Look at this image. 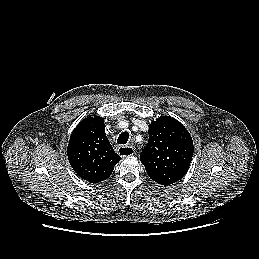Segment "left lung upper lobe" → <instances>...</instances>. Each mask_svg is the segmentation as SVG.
<instances>
[{
	"mask_svg": "<svg viewBox=\"0 0 259 259\" xmlns=\"http://www.w3.org/2000/svg\"><path fill=\"white\" fill-rule=\"evenodd\" d=\"M149 141L140 160L153 180L162 175L182 178L193 157V141L186 128L176 119L163 116L149 126Z\"/></svg>",
	"mask_w": 259,
	"mask_h": 259,
	"instance_id": "1",
	"label": "left lung upper lobe"
}]
</instances>
